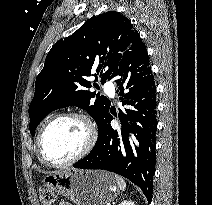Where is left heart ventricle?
Returning <instances> with one entry per match:
<instances>
[{
	"mask_svg": "<svg viewBox=\"0 0 212 205\" xmlns=\"http://www.w3.org/2000/svg\"><path fill=\"white\" fill-rule=\"evenodd\" d=\"M87 140L84 124L74 118L54 122L45 132L42 147L45 156L52 162L60 163L77 155Z\"/></svg>",
	"mask_w": 212,
	"mask_h": 205,
	"instance_id": "1",
	"label": "left heart ventricle"
}]
</instances>
